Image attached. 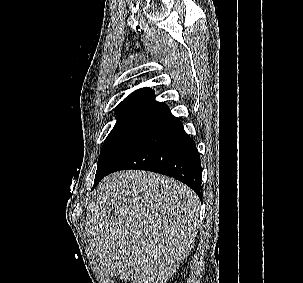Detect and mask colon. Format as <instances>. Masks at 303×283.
<instances>
[{
    "mask_svg": "<svg viewBox=\"0 0 303 283\" xmlns=\"http://www.w3.org/2000/svg\"><path fill=\"white\" fill-rule=\"evenodd\" d=\"M120 283H128L126 280H121Z\"/></svg>",
    "mask_w": 303,
    "mask_h": 283,
    "instance_id": "obj_1",
    "label": "colon"
}]
</instances>
